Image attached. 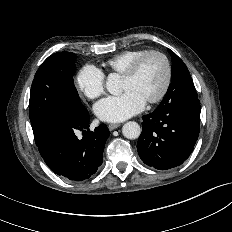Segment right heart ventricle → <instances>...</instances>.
<instances>
[{
    "mask_svg": "<svg viewBox=\"0 0 232 232\" xmlns=\"http://www.w3.org/2000/svg\"><path fill=\"white\" fill-rule=\"evenodd\" d=\"M146 49H132L123 51L108 59L104 66L111 73L123 74L128 66L140 55L145 53Z\"/></svg>",
    "mask_w": 232,
    "mask_h": 232,
    "instance_id": "1",
    "label": "right heart ventricle"
}]
</instances>
